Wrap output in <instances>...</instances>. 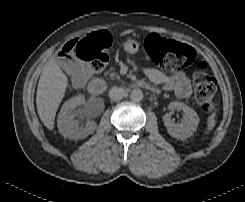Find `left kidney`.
I'll list each match as a JSON object with an SVG mask.
<instances>
[{"label":"left kidney","mask_w":245,"mask_h":202,"mask_svg":"<svg viewBox=\"0 0 245 202\" xmlns=\"http://www.w3.org/2000/svg\"><path fill=\"white\" fill-rule=\"evenodd\" d=\"M170 112L163 117L164 125L171 137L183 140L190 137L196 130L199 124L197 113L189 106L182 102H171L168 106ZM174 110L183 111L184 122L176 124L171 119V113Z\"/></svg>","instance_id":"left-kidney-1"}]
</instances>
